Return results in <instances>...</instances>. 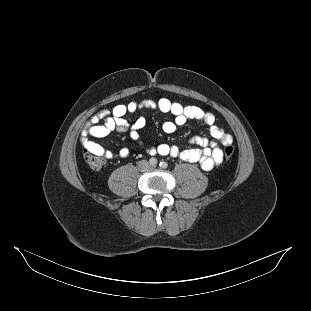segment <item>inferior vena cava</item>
I'll list each match as a JSON object with an SVG mask.
<instances>
[{"instance_id": "1", "label": "inferior vena cava", "mask_w": 311, "mask_h": 311, "mask_svg": "<svg viewBox=\"0 0 311 311\" xmlns=\"http://www.w3.org/2000/svg\"><path fill=\"white\" fill-rule=\"evenodd\" d=\"M137 168H138V170H140L142 172H147L150 169V164H149V162H147L145 160H140L137 163Z\"/></svg>"}]
</instances>
